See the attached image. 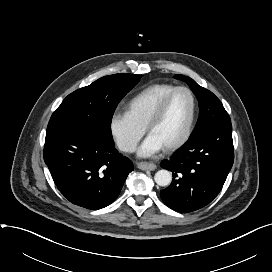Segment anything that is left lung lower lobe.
Returning a JSON list of instances; mask_svg holds the SVG:
<instances>
[{"mask_svg": "<svg viewBox=\"0 0 272 272\" xmlns=\"http://www.w3.org/2000/svg\"><path fill=\"white\" fill-rule=\"evenodd\" d=\"M234 161L231 123L190 136L161 167L172 172V183L160 195L171 209L188 213L209 204L221 191Z\"/></svg>", "mask_w": 272, "mask_h": 272, "instance_id": "1", "label": "left lung lower lobe"}]
</instances>
